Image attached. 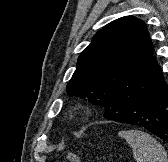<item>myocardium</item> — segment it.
<instances>
[{"mask_svg": "<svg viewBox=\"0 0 168 162\" xmlns=\"http://www.w3.org/2000/svg\"><path fill=\"white\" fill-rule=\"evenodd\" d=\"M70 115H71L72 117H75V116H76V112H75V111H72Z\"/></svg>", "mask_w": 168, "mask_h": 162, "instance_id": "obj_1", "label": "myocardium"}]
</instances>
